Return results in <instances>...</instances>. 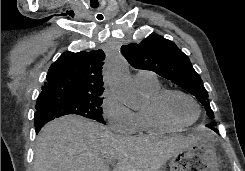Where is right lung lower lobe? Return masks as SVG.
Returning <instances> with one entry per match:
<instances>
[{"instance_id": "right-lung-lower-lobe-1", "label": "right lung lower lobe", "mask_w": 245, "mask_h": 171, "mask_svg": "<svg viewBox=\"0 0 245 171\" xmlns=\"http://www.w3.org/2000/svg\"><path fill=\"white\" fill-rule=\"evenodd\" d=\"M54 118L55 117L51 116L50 114L44 111H41V110L36 111L35 116H34L36 133L40 131L42 126H44L47 122L53 120Z\"/></svg>"}]
</instances>
